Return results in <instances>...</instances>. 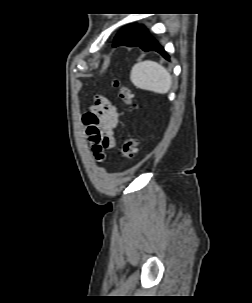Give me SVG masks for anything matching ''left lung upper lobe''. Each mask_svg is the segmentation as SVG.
Returning a JSON list of instances; mask_svg holds the SVG:
<instances>
[{
    "label": "left lung upper lobe",
    "instance_id": "5c2ea615",
    "mask_svg": "<svg viewBox=\"0 0 252 303\" xmlns=\"http://www.w3.org/2000/svg\"><path fill=\"white\" fill-rule=\"evenodd\" d=\"M135 27L136 25H129L122 28L114 38L113 46L116 45L119 41H121L126 35H128Z\"/></svg>",
    "mask_w": 252,
    "mask_h": 303
}]
</instances>
